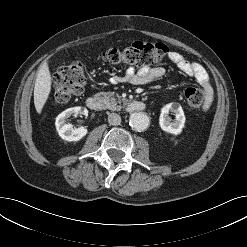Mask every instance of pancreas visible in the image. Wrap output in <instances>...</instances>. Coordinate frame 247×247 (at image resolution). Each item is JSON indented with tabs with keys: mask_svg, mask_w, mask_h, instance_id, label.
I'll return each mask as SVG.
<instances>
[{
	"mask_svg": "<svg viewBox=\"0 0 247 247\" xmlns=\"http://www.w3.org/2000/svg\"><path fill=\"white\" fill-rule=\"evenodd\" d=\"M98 96L102 99L106 108L110 110H120L122 108L121 102L124 105L128 104V100L126 98H122L119 94H115L114 92H100Z\"/></svg>",
	"mask_w": 247,
	"mask_h": 247,
	"instance_id": "cf45deb5",
	"label": "pancreas"
}]
</instances>
